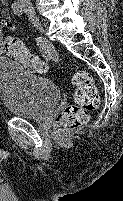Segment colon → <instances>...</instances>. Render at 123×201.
<instances>
[{
	"instance_id": "colon-1",
	"label": "colon",
	"mask_w": 123,
	"mask_h": 201,
	"mask_svg": "<svg viewBox=\"0 0 123 201\" xmlns=\"http://www.w3.org/2000/svg\"><path fill=\"white\" fill-rule=\"evenodd\" d=\"M4 51L20 61L27 69L46 72L47 65L37 55L29 53L24 44L12 35H5ZM76 86L75 104L67 106L56 117L54 128L57 133L64 134L84 126L89 121L90 112L98 108L100 96L91 76L85 71L73 75Z\"/></svg>"
}]
</instances>
